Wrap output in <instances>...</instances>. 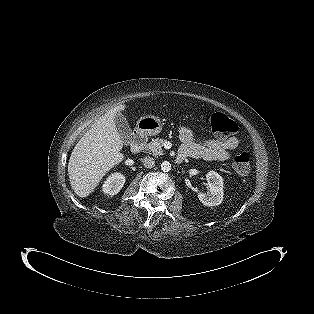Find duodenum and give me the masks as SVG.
I'll return each mask as SVG.
<instances>
[{
  "label": "duodenum",
  "mask_w": 314,
  "mask_h": 314,
  "mask_svg": "<svg viewBox=\"0 0 314 314\" xmlns=\"http://www.w3.org/2000/svg\"><path fill=\"white\" fill-rule=\"evenodd\" d=\"M145 143H146V135L142 131H137L135 132L134 137H133L131 150L134 153H139L143 149ZM179 160L182 161L183 158L179 157Z\"/></svg>",
  "instance_id": "1"
}]
</instances>
